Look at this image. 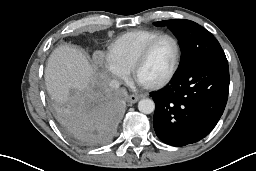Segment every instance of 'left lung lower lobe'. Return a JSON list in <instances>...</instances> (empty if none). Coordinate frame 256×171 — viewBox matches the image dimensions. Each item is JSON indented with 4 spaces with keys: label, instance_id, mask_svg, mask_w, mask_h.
I'll return each mask as SVG.
<instances>
[{
    "label": "left lung lower lobe",
    "instance_id": "1",
    "mask_svg": "<svg viewBox=\"0 0 256 171\" xmlns=\"http://www.w3.org/2000/svg\"><path fill=\"white\" fill-rule=\"evenodd\" d=\"M228 91L226 58L197 62L178 71L167 88L151 94L156 135L172 146L201 140L223 114Z\"/></svg>",
    "mask_w": 256,
    "mask_h": 171
}]
</instances>
